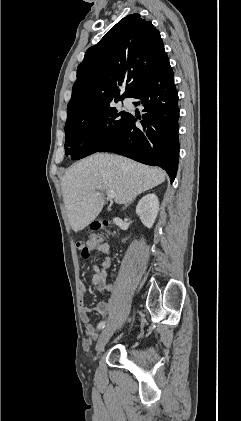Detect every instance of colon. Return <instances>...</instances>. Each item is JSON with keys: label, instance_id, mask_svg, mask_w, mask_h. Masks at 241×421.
I'll return each instance as SVG.
<instances>
[{"label": "colon", "instance_id": "5ec220e1", "mask_svg": "<svg viewBox=\"0 0 241 421\" xmlns=\"http://www.w3.org/2000/svg\"><path fill=\"white\" fill-rule=\"evenodd\" d=\"M107 226V223H96L93 226L94 231H104ZM102 242V238L98 235H93L89 241L87 242H78L77 243V249L81 253V256L84 259H88L91 255V251L93 248H95L97 245H99Z\"/></svg>", "mask_w": 241, "mask_h": 421}]
</instances>
